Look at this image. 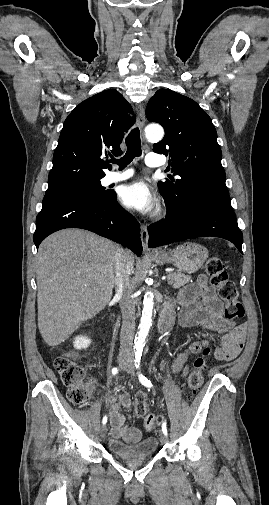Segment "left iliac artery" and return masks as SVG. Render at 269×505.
I'll list each match as a JSON object with an SVG mask.
<instances>
[{
    "label": "left iliac artery",
    "mask_w": 269,
    "mask_h": 505,
    "mask_svg": "<svg viewBox=\"0 0 269 505\" xmlns=\"http://www.w3.org/2000/svg\"><path fill=\"white\" fill-rule=\"evenodd\" d=\"M135 367L137 369V373H138V377H139V381L145 386V387H148V388H151L153 385L151 383L150 380H148L141 372H140V361H141V353H136L135 355ZM162 431L165 435L168 434L167 432V425H166V421L163 422L162 424Z\"/></svg>",
    "instance_id": "44dca946"
}]
</instances>
